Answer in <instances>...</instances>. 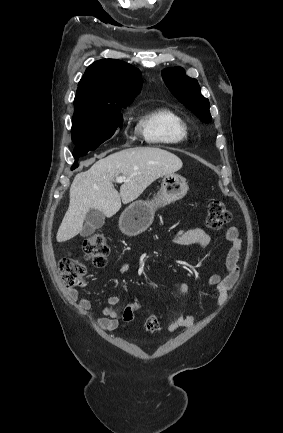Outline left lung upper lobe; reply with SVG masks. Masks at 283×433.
<instances>
[{
  "label": "left lung upper lobe",
  "instance_id": "1",
  "mask_svg": "<svg viewBox=\"0 0 283 433\" xmlns=\"http://www.w3.org/2000/svg\"><path fill=\"white\" fill-rule=\"evenodd\" d=\"M162 78L171 93L179 102L192 111L201 121L210 123V104L203 97L196 79L185 74L183 68H168L162 71Z\"/></svg>",
  "mask_w": 283,
  "mask_h": 433
}]
</instances>
